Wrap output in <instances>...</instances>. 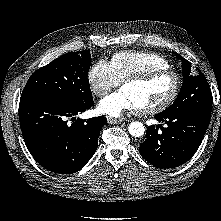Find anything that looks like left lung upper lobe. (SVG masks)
<instances>
[{
    "mask_svg": "<svg viewBox=\"0 0 221 221\" xmlns=\"http://www.w3.org/2000/svg\"><path fill=\"white\" fill-rule=\"evenodd\" d=\"M182 60L184 81L175 102L163 113H175L195 108H212V93L205 76L191 66V63L175 53Z\"/></svg>",
    "mask_w": 221,
    "mask_h": 221,
    "instance_id": "left-lung-upper-lobe-1",
    "label": "left lung upper lobe"
}]
</instances>
